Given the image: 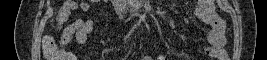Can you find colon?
Here are the masks:
<instances>
[{"label": "colon", "instance_id": "5ec220e1", "mask_svg": "<svg viewBox=\"0 0 267 60\" xmlns=\"http://www.w3.org/2000/svg\"><path fill=\"white\" fill-rule=\"evenodd\" d=\"M43 55L47 60H60L64 53L57 46L55 39L51 35H46L42 43Z\"/></svg>", "mask_w": 267, "mask_h": 60}]
</instances>
